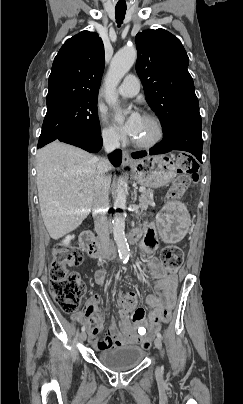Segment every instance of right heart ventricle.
<instances>
[{
	"instance_id": "1",
	"label": "right heart ventricle",
	"mask_w": 243,
	"mask_h": 404,
	"mask_svg": "<svg viewBox=\"0 0 243 404\" xmlns=\"http://www.w3.org/2000/svg\"><path fill=\"white\" fill-rule=\"evenodd\" d=\"M132 48V45L130 44V45H128L127 47H126V49H124V50H129V49H131Z\"/></svg>"
}]
</instances>
